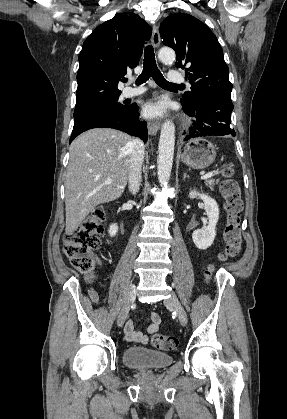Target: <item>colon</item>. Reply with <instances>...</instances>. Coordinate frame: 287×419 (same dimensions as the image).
<instances>
[{"mask_svg": "<svg viewBox=\"0 0 287 419\" xmlns=\"http://www.w3.org/2000/svg\"><path fill=\"white\" fill-rule=\"evenodd\" d=\"M232 174V167L225 164L222 167L223 179L219 186L227 213L223 233L225 249L220 255L221 260L235 258L242 251L241 213L243 201L239 184L232 178ZM105 218L106 212L103 207L93 209L82 224L64 239V254L75 269L88 276H91L96 268L97 262L94 253L100 247ZM210 274L211 270L207 272V276L209 277ZM151 343L158 350H173L178 345V339L175 336L154 334L151 337Z\"/></svg>", "mask_w": 287, "mask_h": 419, "instance_id": "5ec220e1", "label": "colon"}]
</instances>
